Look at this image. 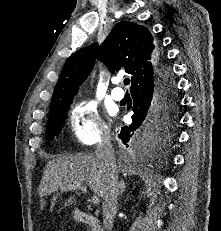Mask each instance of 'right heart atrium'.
I'll return each mask as SVG.
<instances>
[{"mask_svg": "<svg viewBox=\"0 0 221 231\" xmlns=\"http://www.w3.org/2000/svg\"><path fill=\"white\" fill-rule=\"evenodd\" d=\"M70 123L74 137L82 144L92 145L108 138L107 126L92 101L81 100L76 103Z\"/></svg>", "mask_w": 221, "mask_h": 231, "instance_id": "obj_1", "label": "right heart atrium"}]
</instances>
